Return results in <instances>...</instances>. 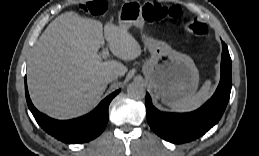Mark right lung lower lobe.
<instances>
[{
	"label": "right lung lower lobe",
	"mask_w": 259,
	"mask_h": 156,
	"mask_svg": "<svg viewBox=\"0 0 259 156\" xmlns=\"http://www.w3.org/2000/svg\"><path fill=\"white\" fill-rule=\"evenodd\" d=\"M119 92L120 90H117L107 96L96 109L83 117L60 121L40 113L33 106L25 83L27 104L37 123L58 140L71 144L90 141L102 133L108 122V106Z\"/></svg>",
	"instance_id": "obj_1"
}]
</instances>
